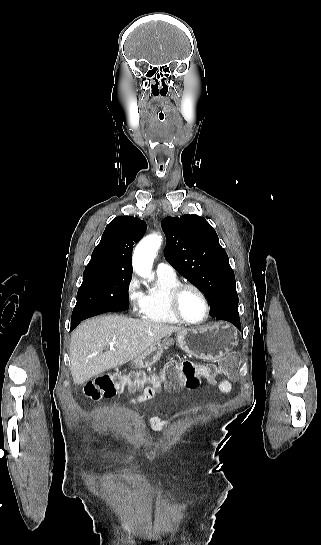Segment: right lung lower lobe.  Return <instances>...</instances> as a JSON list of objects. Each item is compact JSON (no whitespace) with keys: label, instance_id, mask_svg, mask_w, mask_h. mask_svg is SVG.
<instances>
[{"label":"right lung lower lobe","instance_id":"obj_1","mask_svg":"<svg viewBox=\"0 0 321 545\" xmlns=\"http://www.w3.org/2000/svg\"><path fill=\"white\" fill-rule=\"evenodd\" d=\"M128 307H129V305H128V296H127V297H123V298H120V299L114 301L112 303L111 307L108 309L109 310L108 312L124 311V310H127ZM87 318H89V317L84 316V317H81V318H78V319L71 320V330L76 328L77 325L81 321H83L84 319H87Z\"/></svg>","mask_w":321,"mask_h":545}]
</instances>
